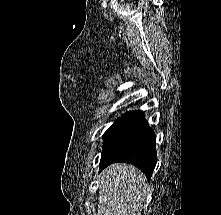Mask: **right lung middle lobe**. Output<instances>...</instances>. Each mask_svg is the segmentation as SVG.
I'll return each instance as SVG.
<instances>
[{
	"instance_id": "1",
	"label": "right lung middle lobe",
	"mask_w": 221,
	"mask_h": 215,
	"mask_svg": "<svg viewBox=\"0 0 221 215\" xmlns=\"http://www.w3.org/2000/svg\"><path fill=\"white\" fill-rule=\"evenodd\" d=\"M117 122H118V120H116V121L114 122V124L105 132L104 138H106V136L108 135V133L110 132V130L113 128V126H114Z\"/></svg>"
}]
</instances>
